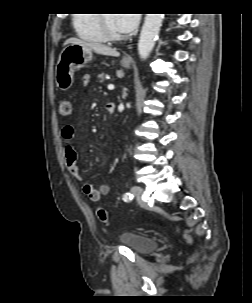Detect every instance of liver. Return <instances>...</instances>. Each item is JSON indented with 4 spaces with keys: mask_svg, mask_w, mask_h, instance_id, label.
<instances>
[{
    "mask_svg": "<svg viewBox=\"0 0 252 303\" xmlns=\"http://www.w3.org/2000/svg\"><path fill=\"white\" fill-rule=\"evenodd\" d=\"M68 44H82V45H85L86 47L90 48L91 50H93L97 54L107 55V56H114V57L119 56V52L116 49L111 48V47L106 46V45L101 44V43L86 42V41H83L81 39L73 37V38H69L65 41L64 45H68Z\"/></svg>",
    "mask_w": 252,
    "mask_h": 303,
    "instance_id": "6515ba94",
    "label": "liver"
}]
</instances>
